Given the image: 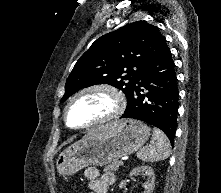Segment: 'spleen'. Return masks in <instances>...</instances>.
Wrapping results in <instances>:
<instances>
[{
  "label": "spleen",
  "instance_id": "obj_1",
  "mask_svg": "<svg viewBox=\"0 0 221 193\" xmlns=\"http://www.w3.org/2000/svg\"><path fill=\"white\" fill-rule=\"evenodd\" d=\"M170 154V143L167 136L158 128H153L150 144L143 147L137 157L144 162L165 160Z\"/></svg>",
  "mask_w": 221,
  "mask_h": 193
}]
</instances>
